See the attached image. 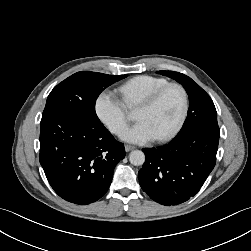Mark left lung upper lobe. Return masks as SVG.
I'll return each instance as SVG.
<instances>
[{
    "label": "left lung upper lobe",
    "instance_id": "1",
    "mask_svg": "<svg viewBox=\"0 0 251 251\" xmlns=\"http://www.w3.org/2000/svg\"><path fill=\"white\" fill-rule=\"evenodd\" d=\"M179 82L189 96V109L187 118L179 133L197 126H218L217 112L210 96L190 77L174 71H159Z\"/></svg>",
    "mask_w": 251,
    "mask_h": 251
}]
</instances>
